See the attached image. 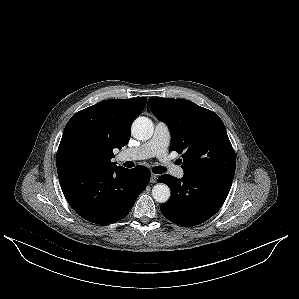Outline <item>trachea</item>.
<instances>
[{
	"mask_svg": "<svg viewBox=\"0 0 299 299\" xmlns=\"http://www.w3.org/2000/svg\"><path fill=\"white\" fill-rule=\"evenodd\" d=\"M152 170L155 174H161L165 171L164 167L162 166H155Z\"/></svg>",
	"mask_w": 299,
	"mask_h": 299,
	"instance_id": "trachea-1",
	"label": "trachea"
}]
</instances>
